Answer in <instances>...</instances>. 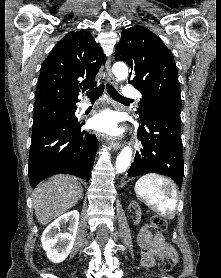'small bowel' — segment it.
<instances>
[{"label":"small bowel","mask_w":221,"mask_h":278,"mask_svg":"<svg viewBox=\"0 0 221 278\" xmlns=\"http://www.w3.org/2000/svg\"><path fill=\"white\" fill-rule=\"evenodd\" d=\"M138 245L142 249V263L144 267L150 268L155 264V258L160 257L163 250L176 259V254L172 247L165 244L161 236H153L149 227L144 226L137 237Z\"/></svg>","instance_id":"obj_1"}]
</instances>
